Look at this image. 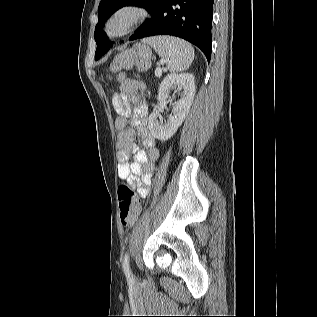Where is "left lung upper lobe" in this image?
Listing matches in <instances>:
<instances>
[{"label":"left lung upper lobe","mask_w":317,"mask_h":317,"mask_svg":"<svg viewBox=\"0 0 317 317\" xmlns=\"http://www.w3.org/2000/svg\"><path fill=\"white\" fill-rule=\"evenodd\" d=\"M162 0H102L99 4V8H98V23L95 27V32H94V36H95V41L97 43V49L95 52V59H99L102 55H104L107 50H103V47L105 44H110L112 45V43H110L108 41V38L105 34V32L102 30V27L104 26L105 21L119 8L124 7V6H128V5H135V6H139V7H143L145 9H147L150 14L152 15L151 19L154 17V15L156 14L160 3ZM147 20L145 21L141 27L139 28V30L130 37L129 40H133L135 39V37L137 35H139L149 24V22L151 21ZM103 50V52H102Z\"/></svg>","instance_id":"obj_1"}]
</instances>
